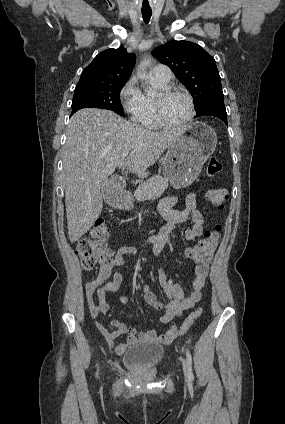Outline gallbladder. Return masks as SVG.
I'll return each instance as SVG.
<instances>
[{"instance_id": "obj_1", "label": "gallbladder", "mask_w": 285, "mask_h": 424, "mask_svg": "<svg viewBox=\"0 0 285 424\" xmlns=\"http://www.w3.org/2000/svg\"><path fill=\"white\" fill-rule=\"evenodd\" d=\"M109 183V180L108 179H105V180H103L102 182H101V189L102 190H105V187H106V185Z\"/></svg>"}]
</instances>
